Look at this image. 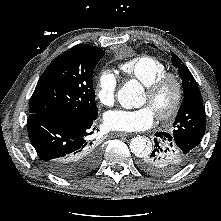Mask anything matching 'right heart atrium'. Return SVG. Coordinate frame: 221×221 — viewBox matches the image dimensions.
Segmentation results:
<instances>
[{"label":"right heart atrium","instance_id":"right-heart-atrium-1","mask_svg":"<svg viewBox=\"0 0 221 221\" xmlns=\"http://www.w3.org/2000/svg\"><path fill=\"white\" fill-rule=\"evenodd\" d=\"M117 91V78L109 70H102L96 79L95 96L103 106H112L115 102Z\"/></svg>","mask_w":221,"mask_h":221}]
</instances>
